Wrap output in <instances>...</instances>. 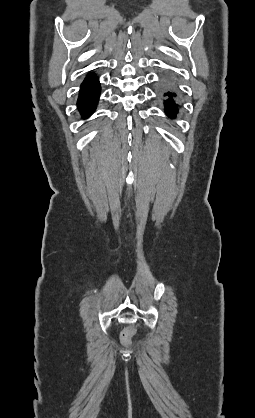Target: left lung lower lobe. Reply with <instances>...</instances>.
<instances>
[{
    "instance_id": "obj_1",
    "label": "left lung lower lobe",
    "mask_w": 255,
    "mask_h": 418,
    "mask_svg": "<svg viewBox=\"0 0 255 418\" xmlns=\"http://www.w3.org/2000/svg\"><path fill=\"white\" fill-rule=\"evenodd\" d=\"M167 87L172 88V84L168 82L166 84ZM164 97V105H165V112L169 117L174 118L178 113V104L176 101V94L174 92H166L163 95Z\"/></svg>"
}]
</instances>
